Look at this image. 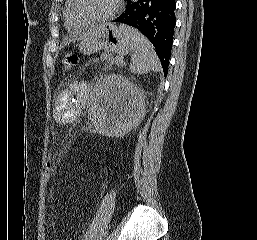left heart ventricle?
<instances>
[{"instance_id": "b2bd125f", "label": "left heart ventricle", "mask_w": 257, "mask_h": 240, "mask_svg": "<svg viewBox=\"0 0 257 240\" xmlns=\"http://www.w3.org/2000/svg\"><path fill=\"white\" fill-rule=\"evenodd\" d=\"M116 0H81V11L90 17H102L114 7Z\"/></svg>"}]
</instances>
